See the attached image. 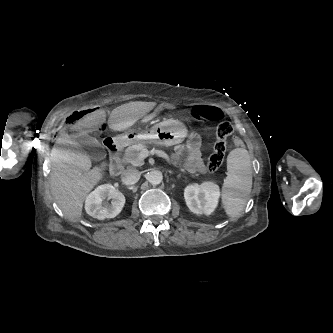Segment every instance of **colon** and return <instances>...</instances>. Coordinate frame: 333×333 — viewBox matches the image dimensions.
Listing matches in <instances>:
<instances>
[{"label": "colon", "instance_id": "1", "mask_svg": "<svg viewBox=\"0 0 333 333\" xmlns=\"http://www.w3.org/2000/svg\"><path fill=\"white\" fill-rule=\"evenodd\" d=\"M98 108L96 106L87 107L84 110L77 111L69 116L68 124L74 123L78 118L96 113ZM193 114L205 121H211L218 124L216 129L217 140L213 147V152L208 157L206 168L209 171L217 170L223 162L226 152L227 139L234 133V127L230 122L223 121V112L215 107L209 105L196 106L192 109ZM234 146L237 149L245 147V141L240 137L234 138Z\"/></svg>", "mask_w": 333, "mask_h": 333}]
</instances>
